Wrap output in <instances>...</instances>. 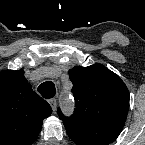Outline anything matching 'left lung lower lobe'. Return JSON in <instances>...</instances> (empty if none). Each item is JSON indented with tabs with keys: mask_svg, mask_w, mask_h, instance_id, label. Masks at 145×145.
I'll use <instances>...</instances> for the list:
<instances>
[{
	"mask_svg": "<svg viewBox=\"0 0 145 145\" xmlns=\"http://www.w3.org/2000/svg\"><path fill=\"white\" fill-rule=\"evenodd\" d=\"M68 136L77 145H108L121 133L122 128L111 126L64 125Z\"/></svg>",
	"mask_w": 145,
	"mask_h": 145,
	"instance_id": "0a47b994",
	"label": "left lung lower lobe"
}]
</instances>
